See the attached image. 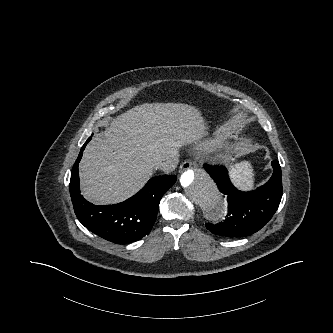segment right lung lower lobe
<instances>
[{
    "label": "right lung lower lobe",
    "mask_w": 333,
    "mask_h": 333,
    "mask_svg": "<svg viewBox=\"0 0 333 333\" xmlns=\"http://www.w3.org/2000/svg\"><path fill=\"white\" fill-rule=\"evenodd\" d=\"M90 140L91 137L82 146L71 172L69 190L75 214L87 229L106 240L118 244L135 242L151 231L160 200L176 182L177 177L157 176L150 179L137 194L122 203L93 205L80 194L78 175V164Z\"/></svg>",
    "instance_id": "right-lung-lower-lobe-1"
}]
</instances>
